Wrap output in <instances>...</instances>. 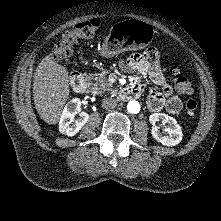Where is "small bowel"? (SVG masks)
I'll list each match as a JSON object with an SVG mask.
<instances>
[{
  "instance_id": "1",
  "label": "small bowel",
  "mask_w": 221,
  "mask_h": 221,
  "mask_svg": "<svg viewBox=\"0 0 221 221\" xmlns=\"http://www.w3.org/2000/svg\"><path fill=\"white\" fill-rule=\"evenodd\" d=\"M147 52V51H146ZM144 53H134L119 62L120 68L127 72H138L147 78L159 89H151L148 94L147 104L152 111L165 108L171 114H177L182 108V102L162 74L160 68ZM143 88V84H138ZM177 92L179 90L176 88ZM181 94V93H180Z\"/></svg>"
}]
</instances>
